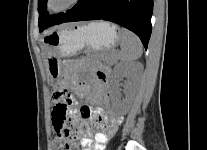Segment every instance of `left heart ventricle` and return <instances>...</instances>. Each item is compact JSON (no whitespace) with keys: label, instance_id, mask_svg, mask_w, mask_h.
Here are the masks:
<instances>
[{"label":"left heart ventricle","instance_id":"left-heart-ventricle-1","mask_svg":"<svg viewBox=\"0 0 207 150\" xmlns=\"http://www.w3.org/2000/svg\"><path fill=\"white\" fill-rule=\"evenodd\" d=\"M70 0H51V7L53 9H60L67 5Z\"/></svg>","mask_w":207,"mask_h":150}]
</instances>
